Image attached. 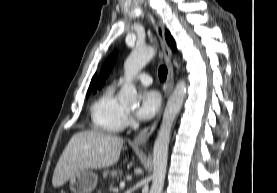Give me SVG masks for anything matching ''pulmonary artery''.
<instances>
[{"instance_id": "1", "label": "pulmonary artery", "mask_w": 277, "mask_h": 193, "mask_svg": "<svg viewBox=\"0 0 277 193\" xmlns=\"http://www.w3.org/2000/svg\"><path fill=\"white\" fill-rule=\"evenodd\" d=\"M136 79L138 80V81H140L143 85H146V86H148V85H150L151 83H152V78H151V76L149 75V74H147V73H140V74H138L137 76H136ZM124 82V78L123 77H121V78H119V80H118V84H122Z\"/></svg>"}]
</instances>
